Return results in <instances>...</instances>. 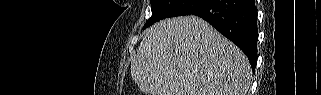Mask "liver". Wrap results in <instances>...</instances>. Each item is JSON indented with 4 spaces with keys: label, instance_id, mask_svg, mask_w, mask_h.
<instances>
[{
    "label": "liver",
    "instance_id": "obj_1",
    "mask_svg": "<svg viewBox=\"0 0 321 95\" xmlns=\"http://www.w3.org/2000/svg\"><path fill=\"white\" fill-rule=\"evenodd\" d=\"M131 75L150 95H246L251 67L244 53L205 20L186 16L145 31Z\"/></svg>",
    "mask_w": 321,
    "mask_h": 95
}]
</instances>
